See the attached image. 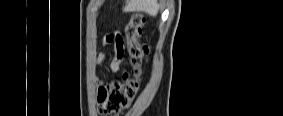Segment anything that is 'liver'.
Wrapping results in <instances>:
<instances>
[{"mask_svg": "<svg viewBox=\"0 0 283 116\" xmlns=\"http://www.w3.org/2000/svg\"><path fill=\"white\" fill-rule=\"evenodd\" d=\"M160 4L158 0H126L124 12H145L150 16H156Z\"/></svg>", "mask_w": 283, "mask_h": 116, "instance_id": "obj_1", "label": "liver"}]
</instances>
